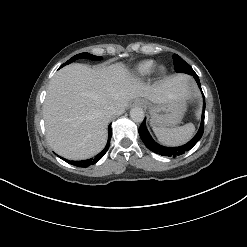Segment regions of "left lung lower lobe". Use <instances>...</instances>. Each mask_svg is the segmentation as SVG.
I'll return each instance as SVG.
<instances>
[{
    "instance_id": "obj_1",
    "label": "left lung lower lobe",
    "mask_w": 247,
    "mask_h": 247,
    "mask_svg": "<svg viewBox=\"0 0 247 247\" xmlns=\"http://www.w3.org/2000/svg\"><path fill=\"white\" fill-rule=\"evenodd\" d=\"M194 78H195L199 88L201 89L200 81H199L197 74L194 75ZM204 112H205V98L203 95V112H202V120H201L200 128H199L197 134L193 137V139L190 140L188 143L184 144L183 146L170 148V147H165V146H162V145L156 143L152 139L151 135L149 134V132L146 128L145 119L139 127V135H140L142 141L144 142V144L146 145V147L149 150L153 151L154 153H157V154H160L163 156H171V157H176L178 155H182L185 152H187L188 150H190L201 139V137L203 135V131H204Z\"/></svg>"
}]
</instances>
